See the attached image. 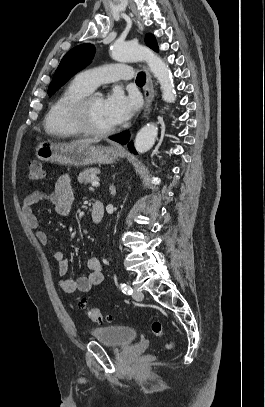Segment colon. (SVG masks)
<instances>
[{
    "label": "colon",
    "instance_id": "obj_1",
    "mask_svg": "<svg viewBox=\"0 0 265 407\" xmlns=\"http://www.w3.org/2000/svg\"><path fill=\"white\" fill-rule=\"evenodd\" d=\"M44 177L43 167L40 161L32 160L29 163V173L28 179L30 182H38L42 180ZM76 306L80 309H85L89 318L96 323H101L104 320L110 321L112 319L111 316L107 315L104 316L102 311L97 308H90L87 306V303L84 299L79 298L76 301ZM151 331L152 333L159 337L166 340L165 349L168 351H172L176 347V342L174 336L165 329L164 325L160 321H153L151 324Z\"/></svg>",
    "mask_w": 265,
    "mask_h": 407
}]
</instances>
